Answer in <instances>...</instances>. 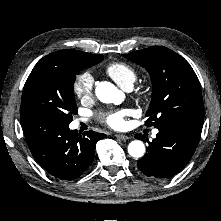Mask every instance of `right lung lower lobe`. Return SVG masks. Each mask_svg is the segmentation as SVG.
Wrapping results in <instances>:
<instances>
[{
  "mask_svg": "<svg viewBox=\"0 0 221 221\" xmlns=\"http://www.w3.org/2000/svg\"><path fill=\"white\" fill-rule=\"evenodd\" d=\"M29 149L36 161L51 175L72 180L92 163L97 141L106 137L94 131L82 136L68 123L41 115L20 117Z\"/></svg>",
  "mask_w": 221,
  "mask_h": 221,
  "instance_id": "1",
  "label": "right lung lower lobe"
}]
</instances>
